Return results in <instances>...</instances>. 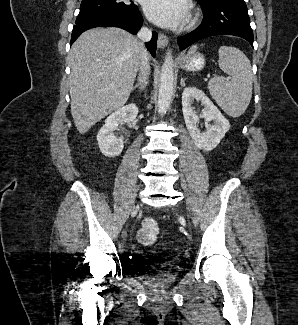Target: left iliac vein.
<instances>
[{"label":"left iliac vein","instance_id":"1","mask_svg":"<svg viewBox=\"0 0 298 325\" xmlns=\"http://www.w3.org/2000/svg\"><path fill=\"white\" fill-rule=\"evenodd\" d=\"M179 221H180V223L182 224V225H186V221H185V219L183 218V217H179Z\"/></svg>","mask_w":298,"mask_h":325}]
</instances>
